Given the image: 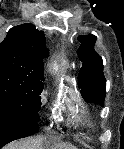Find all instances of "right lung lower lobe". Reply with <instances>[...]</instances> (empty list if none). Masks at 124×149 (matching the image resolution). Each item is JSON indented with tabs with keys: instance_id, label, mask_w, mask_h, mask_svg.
Instances as JSON below:
<instances>
[{
	"instance_id": "obj_1",
	"label": "right lung lower lobe",
	"mask_w": 124,
	"mask_h": 149,
	"mask_svg": "<svg viewBox=\"0 0 124 149\" xmlns=\"http://www.w3.org/2000/svg\"><path fill=\"white\" fill-rule=\"evenodd\" d=\"M38 128V123H35L28 127L0 129V149L11 141L34 134Z\"/></svg>"
}]
</instances>
